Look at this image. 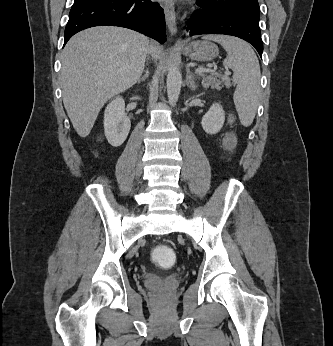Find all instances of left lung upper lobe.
<instances>
[{
    "label": "left lung upper lobe",
    "instance_id": "5c2ea615",
    "mask_svg": "<svg viewBox=\"0 0 333 346\" xmlns=\"http://www.w3.org/2000/svg\"><path fill=\"white\" fill-rule=\"evenodd\" d=\"M231 10L233 13L242 14L259 22V4L257 0H205Z\"/></svg>",
    "mask_w": 333,
    "mask_h": 346
}]
</instances>
